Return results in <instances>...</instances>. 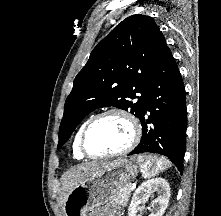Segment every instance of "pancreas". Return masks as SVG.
Returning a JSON list of instances; mask_svg holds the SVG:
<instances>
[{
    "label": "pancreas",
    "mask_w": 221,
    "mask_h": 216,
    "mask_svg": "<svg viewBox=\"0 0 221 216\" xmlns=\"http://www.w3.org/2000/svg\"><path fill=\"white\" fill-rule=\"evenodd\" d=\"M130 190L131 186L129 184L125 185L123 188H121L115 195L114 201L118 205L126 206L130 197Z\"/></svg>",
    "instance_id": "pancreas-1"
}]
</instances>
